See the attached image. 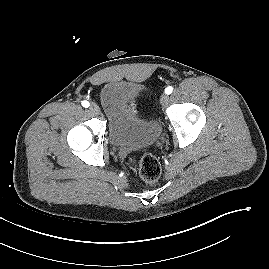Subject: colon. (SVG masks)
Here are the masks:
<instances>
[{"mask_svg": "<svg viewBox=\"0 0 269 269\" xmlns=\"http://www.w3.org/2000/svg\"><path fill=\"white\" fill-rule=\"evenodd\" d=\"M132 108L135 110L134 104H132ZM128 164L130 167L137 166L139 176L147 183H153L160 177V162L151 154H144L139 159L135 155H132L128 158Z\"/></svg>", "mask_w": 269, "mask_h": 269, "instance_id": "colon-1", "label": "colon"}]
</instances>
